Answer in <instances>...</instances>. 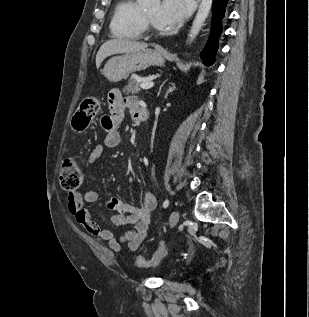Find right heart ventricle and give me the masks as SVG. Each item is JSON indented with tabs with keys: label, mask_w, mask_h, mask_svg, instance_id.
<instances>
[{
	"label": "right heart ventricle",
	"mask_w": 309,
	"mask_h": 317,
	"mask_svg": "<svg viewBox=\"0 0 309 317\" xmlns=\"http://www.w3.org/2000/svg\"><path fill=\"white\" fill-rule=\"evenodd\" d=\"M112 33L119 38L136 40L144 33L142 12L136 0H120L111 20Z\"/></svg>",
	"instance_id": "obj_1"
}]
</instances>
